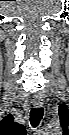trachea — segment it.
<instances>
[{
	"label": "trachea",
	"instance_id": "3493384b",
	"mask_svg": "<svg viewBox=\"0 0 69 135\" xmlns=\"http://www.w3.org/2000/svg\"><path fill=\"white\" fill-rule=\"evenodd\" d=\"M43 115H44V109L42 107L31 109L30 123H31L32 127L36 128L39 125Z\"/></svg>",
	"mask_w": 69,
	"mask_h": 135
}]
</instances>
